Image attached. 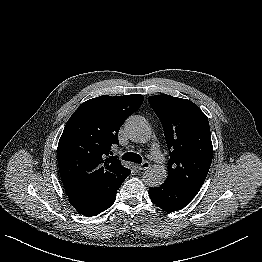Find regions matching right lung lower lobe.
I'll return each instance as SVG.
<instances>
[{
	"instance_id": "obj_1",
	"label": "right lung lower lobe",
	"mask_w": 262,
	"mask_h": 262,
	"mask_svg": "<svg viewBox=\"0 0 262 262\" xmlns=\"http://www.w3.org/2000/svg\"><path fill=\"white\" fill-rule=\"evenodd\" d=\"M117 190L103 196L69 197V202L78 213L92 217L105 211L114 203Z\"/></svg>"
}]
</instances>
